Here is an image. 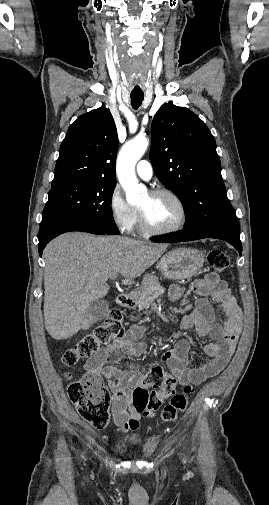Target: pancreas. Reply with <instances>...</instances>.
Here are the masks:
<instances>
[{
  "mask_svg": "<svg viewBox=\"0 0 269 505\" xmlns=\"http://www.w3.org/2000/svg\"><path fill=\"white\" fill-rule=\"evenodd\" d=\"M165 289L158 283L141 290L138 298L139 309H147L153 304L154 298L163 294Z\"/></svg>",
  "mask_w": 269,
  "mask_h": 505,
  "instance_id": "pancreas-1",
  "label": "pancreas"
}]
</instances>
